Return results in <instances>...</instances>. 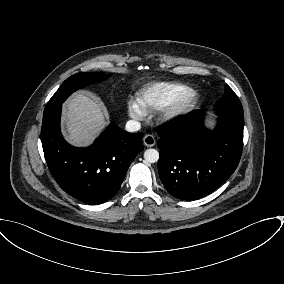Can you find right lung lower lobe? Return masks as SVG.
<instances>
[{"label": "right lung lower lobe", "mask_w": 284, "mask_h": 284, "mask_svg": "<svg viewBox=\"0 0 284 284\" xmlns=\"http://www.w3.org/2000/svg\"><path fill=\"white\" fill-rule=\"evenodd\" d=\"M62 105L43 114L41 141L48 168L68 194L100 204L119 190L134 158L142 151L143 133L130 134L115 124L87 148L69 145L60 132Z\"/></svg>", "instance_id": "obj_1"}]
</instances>
